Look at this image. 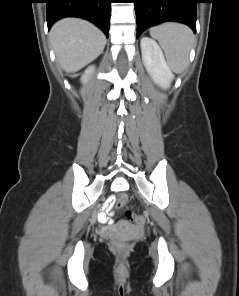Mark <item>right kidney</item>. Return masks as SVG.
Wrapping results in <instances>:
<instances>
[{"mask_svg":"<svg viewBox=\"0 0 239 296\" xmlns=\"http://www.w3.org/2000/svg\"><path fill=\"white\" fill-rule=\"evenodd\" d=\"M93 70H94L93 66L88 67L86 69V71L84 72V74L82 75L81 81L86 82L88 80L89 76L91 75V73L93 72Z\"/></svg>","mask_w":239,"mask_h":296,"instance_id":"right-kidney-1","label":"right kidney"}]
</instances>
